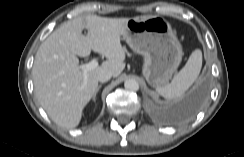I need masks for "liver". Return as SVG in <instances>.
Listing matches in <instances>:
<instances>
[{
	"mask_svg": "<svg viewBox=\"0 0 244 157\" xmlns=\"http://www.w3.org/2000/svg\"><path fill=\"white\" fill-rule=\"evenodd\" d=\"M128 18L97 15L78 17L63 23L40 45L32 68L37 100L59 126L72 129L81 121L83 109L98 87L97 76L110 70L118 77L125 68L121 35ZM87 29L88 35L82 34ZM91 50L106 57L101 66L86 74L79 68V57Z\"/></svg>",
	"mask_w": 244,
	"mask_h": 157,
	"instance_id": "obj_1",
	"label": "liver"
}]
</instances>
